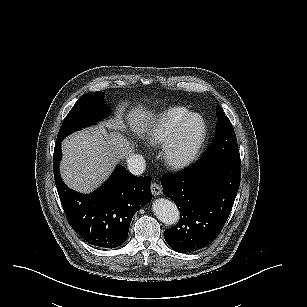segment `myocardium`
Here are the masks:
<instances>
[{
  "label": "myocardium",
  "instance_id": "f54148a6",
  "mask_svg": "<svg viewBox=\"0 0 307 307\" xmlns=\"http://www.w3.org/2000/svg\"><path fill=\"white\" fill-rule=\"evenodd\" d=\"M175 124L168 138H163L155 148L165 161V171L190 164L199 154L206 137V125L196 110L186 112Z\"/></svg>",
  "mask_w": 307,
  "mask_h": 307
}]
</instances>
